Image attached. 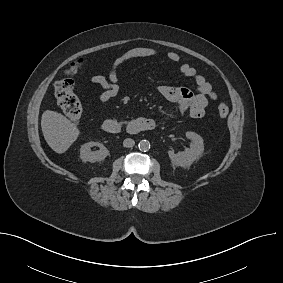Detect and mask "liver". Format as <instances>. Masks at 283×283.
Instances as JSON below:
<instances>
[{"mask_svg":"<svg viewBox=\"0 0 283 283\" xmlns=\"http://www.w3.org/2000/svg\"><path fill=\"white\" fill-rule=\"evenodd\" d=\"M41 128L47 144L59 154L66 152L80 134L74 123L61 113L51 110L43 112Z\"/></svg>","mask_w":283,"mask_h":283,"instance_id":"liver-1","label":"liver"}]
</instances>
